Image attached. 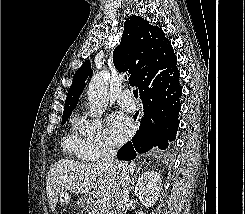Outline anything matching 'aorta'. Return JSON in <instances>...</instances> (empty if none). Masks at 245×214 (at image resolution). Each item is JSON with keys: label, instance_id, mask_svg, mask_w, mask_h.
I'll use <instances>...</instances> for the list:
<instances>
[{"label": "aorta", "instance_id": "762f6f07", "mask_svg": "<svg viewBox=\"0 0 245 214\" xmlns=\"http://www.w3.org/2000/svg\"><path fill=\"white\" fill-rule=\"evenodd\" d=\"M108 72L101 71L93 75L87 90L89 113L93 118L100 117L108 105Z\"/></svg>", "mask_w": 245, "mask_h": 214}]
</instances>
